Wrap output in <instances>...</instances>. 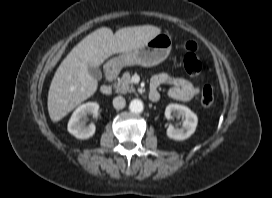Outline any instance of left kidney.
I'll return each mask as SVG.
<instances>
[{
  "label": "left kidney",
  "mask_w": 272,
  "mask_h": 198,
  "mask_svg": "<svg viewBox=\"0 0 272 198\" xmlns=\"http://www.w3.org/2000/svg\"><path fill=\"white\" fill-rule=\"evenodd\" d=\"M167 119H172L173 116H182L184 118L182 128H174L169 125L167 128V136L174 140H185L189 138L196 130L198 124L197 115L188 107L180 104H169L165 110Z\"/></svg>",
  "instance_id": "obj_1"
}]
</instances>
